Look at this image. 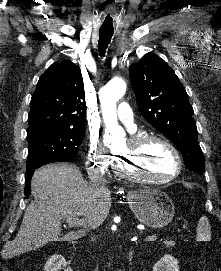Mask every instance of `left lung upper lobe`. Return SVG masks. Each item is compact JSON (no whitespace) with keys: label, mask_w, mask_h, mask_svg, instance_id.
<instances>
[{"label":"left lung upper lobe","mask_w":221,"mask_h":271,"mask_svg":"<svg viewBox=\"0 0 221 271\" xmlns=\"http://www.w3.org/2000/svg\"><path fill=\"white\" fill-rule=\"evenodd\" d=\"M129 78L145 120L179 148L186 167L204 172L194 111L174 71L158 55L147 53L130 65Z\"/></svg>","instance_id":"obj_1"}]
</instances>
